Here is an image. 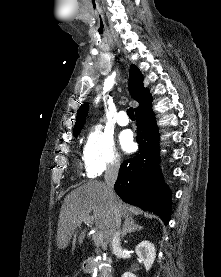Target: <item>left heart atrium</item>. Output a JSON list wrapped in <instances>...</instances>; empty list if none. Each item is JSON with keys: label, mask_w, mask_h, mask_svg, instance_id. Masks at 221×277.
<instances>
[{"label": "left heart atrium", "mask_w": 221, "mask_h": 277, "mask_svg": "<svg viewBox=\"0 0 221 277\" xmlns=\"http://www.w3.org/2000/svg\"><path fill=\"white\" fill-rule=\"evenodd\" d=\"M120 144L125 151H132L134 149L135 143L129 131H125L120 135Z\"/></svg>", "instance_id": "obj_1"}]
</instances>
